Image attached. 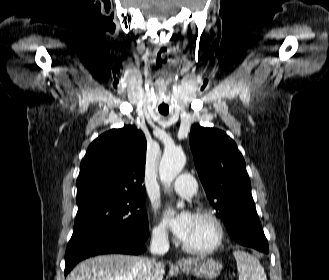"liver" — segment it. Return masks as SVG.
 Segmentation results:
<instances>
[{"label": "liver", "instance_id": "6515ba94", "mask_svg": "<svg viewBox=\"0 0 329 280\" xmlns=\"http://www.w3.org/2000/svg\"><path fill=\"white\" fill-rule=\"evenodd\" d=\"M141 257L127 255H101L78 264L67 280H142ZM165 273L162 265L154 271L153 280H162Z\"/></svg>", "mask_w": 329, "mask_h": 280}]
</instances>
